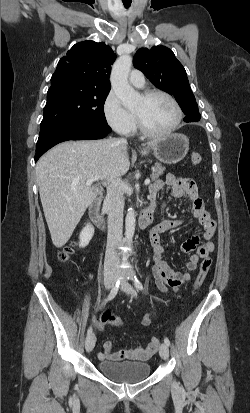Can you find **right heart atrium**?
<instances>
[{"mask_svg": "<svg viewBox=\"0 0 250 413\" xmlns=\"http://www.w3.org/2000/svg\"><path fill=\"white\" fill-rule=\"evenodd\" d=\"M102 110L107 124L113 130L122 135H130L134 132L135 116L123 106L113 90L109 91L105 97Z\"/></svg>", "mask_w": 250, "mask_h": 413, "instance_id": "1", "label": "right heart atrium"}]
</instances>
